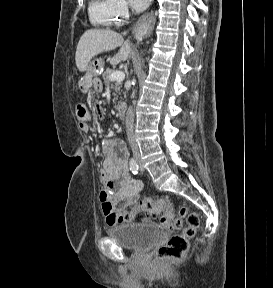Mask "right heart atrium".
I'll use <instances>...</instances> for the list:
<instances>
[{
  "label": "right heart atrium",
  "mask_w": 273,
  "mask_h": 288,
  "mask_svg": "<svg viewBox=\"0 0 273 288\" xmlns=\"http://www.w3.org/2000/svg\"><path fill=\"white\" fill-rule=\"evenodd\" d=\"M109 3L118 23L129 18L130 8L126 0H109Z\"/></svg>",
  "instance_id": "d8ad5b80"
}]
</instances>
